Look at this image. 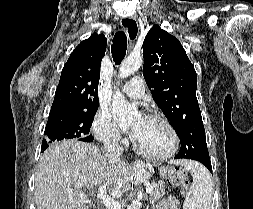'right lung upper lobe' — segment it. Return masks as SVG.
I'll use <instances>...</instances> for the list:
<instances>
[{
  "label": "right lung upper lobe",
  "instance_id": "obj_1",
  "mask_svg": "<svg viewBox=\"0 0 253 209\" xmlns=\"http://www.w3.org/2000/svg\"><path fill=\"white\" fill-rule=\"evenodd\" d=\"M106 45L103 34L93 33L74 49L62 69L49 117L99 106V71Z\"/></svg>",
  "mask_w": 253,
  "mask_h": 209
}]
</instances>
